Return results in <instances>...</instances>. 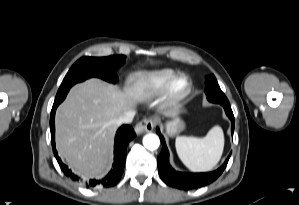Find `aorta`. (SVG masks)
I'll return each mask as SVG.
<instances>
[{
  "instance_id": "1",
  "label": "aorta",
  "mask_w": 299,
  "mask_h": 205,
  "mask_svg": "<svg viewBox=\"0 0 299 205\" xmlns=\"http://www.w3.org/2000/svg\"><path fill=\"white\" fill-rule=\"evenodd\" d=\"M143 145L149 150H156L160 145L159 137L155 134H147L143 138Z\"/></svg>"
}]
</instances>
